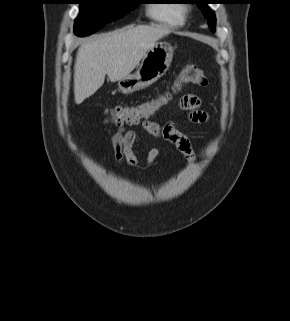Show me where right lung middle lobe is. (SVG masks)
<instances>
[{
    "label": "right lung middle lobe",
    "mask_w": 290,
    "mask_h": 321,
    "mask_svg": "<svg viewBox=\"0 0 290 321\" xmlns=\"http://www.w3.org/2000/svg\"><path fill=\"white\" fill-rule=\"evenodd\" d=\"M80 14L75 20L74 33L83 37L90 35L106 23L123 17L135 9L138 0H78Z\"/></svg>",
    "instance_id": "dd1d6c3e"
}]
</instances>
